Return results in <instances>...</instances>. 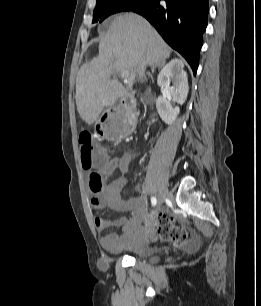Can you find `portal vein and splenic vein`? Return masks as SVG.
Wrapping results in <instances>:
<instances>
[{
	"label": "portal vein and splenic vein",
	"instance_id": "obj_1",
	"mask_svg": "<svg viewBox=\"0 0 261 306\" xmlns=\"http://www.w3.org/2000/svg\"><path fill=\"white\" fill-rule=\"evenodd\" d=\"M121 77L124 79V82H128L129 72L128 71H123L121 73Z\"/></svg>",
	"mask_w": 261,
	"mask_h": 306
}]
</instances>
